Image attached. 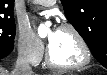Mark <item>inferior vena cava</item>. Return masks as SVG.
Masks as SVG:
<instances>
[{
    "instance_id": "obj_1",
    "label": "inferior vena cava",
    "mask_w": 107,
    "mask_h": 75,
    "mask_svg": "<svg viewBox=\"0 0 107 75\" xmlns=\"http://www.w3.org/2000/svg\"><path fill=\"white\" fill-rule=\"evenodd\" d=\"M12 75H33L28 56L24 51H20Z\"/></svg>"
}]
</instances>
